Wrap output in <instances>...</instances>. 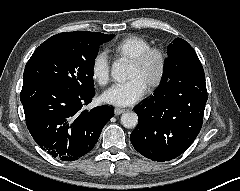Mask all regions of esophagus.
Here are the masks:
<instances>
[{
	"label": "esophagus",
	"mask_w": 240,
	"mask_h": 191,
	"mask_svg": "<svg viewBox=\"0 0 240 191\" xmlns=\"http://www.w3.org/2000/svg\"><path fill=\"white\" fill-rule=\"evenodd\" d=\"M124 112H125V109H122V108H115L114 109L115 115H120V114H122Z\"/></svg>",
	"instance_id": "1"
}]
</instances>
